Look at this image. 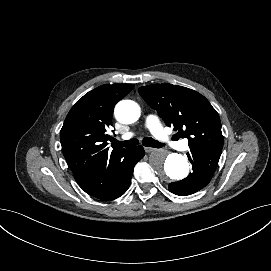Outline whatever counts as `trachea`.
Here are the masks:
<instances>
[{"instance_id":"1","label":"trachea","mask_w":271,"mask_h":271,"mask_svg":"<svg viewBox=\"0 0 271 271\" xmlns=\"http://www.w3.org/2000/svg\"><path fill=\"white\" fill-rule=\"evenodd\" d=\"M114 142L117 145H120V146H123V147H126V148H131V147H134V146H136L138 144L137 139H130V140H127V141H124V142L115 140ZM143 145L146 146V147H154V148H161V147L165 146L164 143L158 142L157 140H154L151 137L144 138L143 139Z\"/></svg>"}]
</instances>
